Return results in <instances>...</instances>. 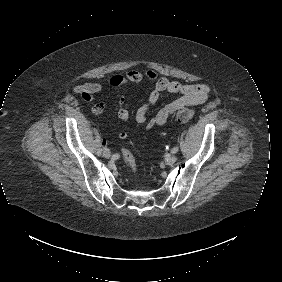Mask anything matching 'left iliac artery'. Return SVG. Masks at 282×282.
I'll return each mask as SVG.
<instances>
[{
	"instance_id": "1",
	"label": "left iliac artery",
	"mask_w": 282,
	"mask_h": 282,
	"mask_svg": "<svg viewBox=\"0 0 282 282\" xmlns=\"http://www.w3.org/2000/svg\"><path fill=\"white\" fill-rule=\"evenodd\" d=\"M178 150H179V148H178V147H174V148L171 150V152H172V153H177V152H178Z\"/></svg>"
}]
</instances>
